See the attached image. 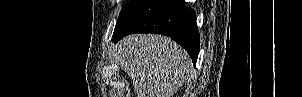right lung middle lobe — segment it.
Listing matches in <instances>:
<instances>
[{
    "mask_svg": "<svg viewBox=\"0 0 302 97\" xmlns=\"http://www.w3.org/2000/svg\"><path fill=\"white\" fill-rule=\"evenodd\" d=\"M146 0H130L127 2L121 12L120 16L117 20L115 31L118 30L122 24L145 2Z\"/></svg>",
    "mask_w": 302,
    "mask_h": 97,
    "instance_id": "right-lung-middle-lobe-1",
    "label": "right lung middle lobe"
}]
</instances>
